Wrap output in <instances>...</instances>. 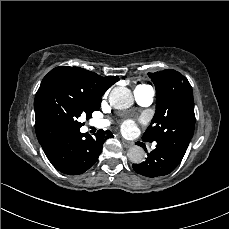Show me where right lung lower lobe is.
I'll return each instance as SVG.
<instances>
[{
	"mask_svg": "<svg viewBox=\"0 0 229 229\" xmlns=\"http://www.w3.org/2000/svg\"><path fill=\"white\" fill-rule=\"evenodd\" d=\"M80 130L70 132L55 141L44 151L51 164L67 175H79L88 170L98 159L103 143L112 133L99 130L95 138L86 137Z\"/></svg>",
	"mask_w": 229,
	"mask_h": 229,
	"instance_id": "obj_1",
	"label": "right lung lower lobe"
}]
</instances>
